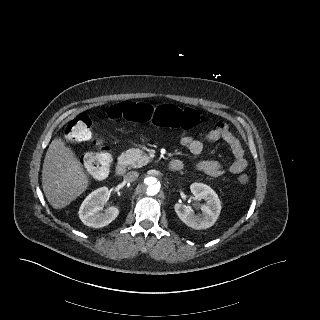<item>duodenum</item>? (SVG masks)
<instances>
[{
	"instance_id": "410a0bca",
	"label": "duodenum",
	"mask_w": 320,
	"mask_h": 320,
	"mask_svg": "<svg viewBox=\"0 0 320 320\" xmlns=\"http://www.w3.org/2000/svg\"><path fill=\"white\" fill-rule=\"evenodd\" d=\"M183 163L180 160H172L170 161V163L168 164V168L170 171L172 172H178L181 171L183 169ZM116 174L119 176H123L126 171H127V166L126 163L124 161H119L116 165Z\"/></svg>"
}]
</instances>
